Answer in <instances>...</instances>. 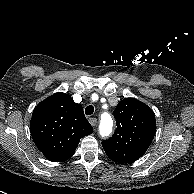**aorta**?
Masks as SVG:
<instances>
[{
    "label": "aorta",
    "instance_id": "762f6f07",
    "mask_svg": "<svg viewBox=\"0 0 194 194\" xmlns=\"http://www.w3.org/2000/svg\"><path fill=\"white\" fill-rule=\"evenodd\" d=\"M113 128V120L109 113H103L101 115L100 125H99V133L101 136L106 137L110 135Z\"/></svg>",
    "mask_w": 194,
    "mask_h": 194
}]
</instances>
